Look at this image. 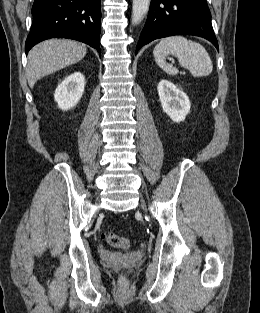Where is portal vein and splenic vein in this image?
I'll return each mask as SVG.
<instances>
[{"label":"portal vein and splenic vein","instance_id":"18ae733b","mask_svg":"<svg viewBox=\"0 0 260 313\" xmlns=\"http://www.w3.org/2000/svg\"><path fill=\"white\" fill-rule=\"evenodd\" d=\"M183 75H185V71L181 72Z\"/></svg>","mask_w":260,"mask_h":313}]
</instances>
